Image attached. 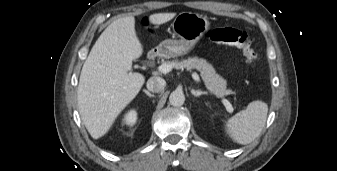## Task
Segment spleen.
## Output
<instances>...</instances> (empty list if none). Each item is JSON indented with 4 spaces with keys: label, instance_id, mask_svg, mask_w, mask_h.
<instances>
[{
    "label": "spleen",
    "instance_id": "spleen-1",
    "mask_svg": "<svg viewBox=\"0 0 337 171\" xmlns=\"http://www.w3.org/2000/svg\"><path fill=\"white\" fill-rule=\"evenodd\" d=\"M268 105L262 101H253L247 108L231 118L225 124L226 133L236 143L246 145L254 141L265 126Z\"/></svg>",
    "mask_w": 337,
    "mask_h": 171
}]
</instances>
